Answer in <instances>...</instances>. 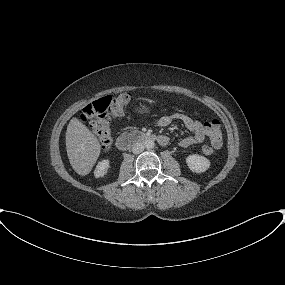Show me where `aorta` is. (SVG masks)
<instances>
[{"mask_svg": "<svg viewBox=\"0 0 285 285\" xmlns=\"http://www.w3.org/2000/svg\"><path fill=\"white\" fill-rule=\"evenodd\" d=\"M144 146L146 149H153L154 146H155V143L152 139H147L145 142H144Z\"/></svg>", "mask_w": 285, "mask_h": 285, "instance_id": "obj_1", "label": "aorta"}]
</instances>
